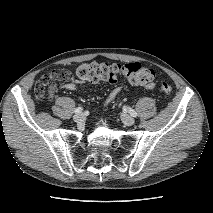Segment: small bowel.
<instances>
[{"instance_id":"obj_1","label":"small bowel","mask_w":213,"mask_h":213,"mask_svg":"<svg viewBox=\"0 0 213 213\" xmlns=\"http://www.w3.org/2000/svg\"><path fill=\"white\" fill-rule=\"evenodd\" d=\"M62 87L69 91H75L77 89V83L74 79H68L62 84ZM55 85H50L49 92L52 93L55 90ZM149 90V89H148Z\"/></svg>"}]
</instances>
